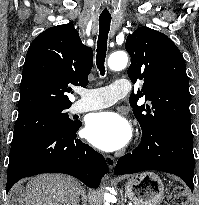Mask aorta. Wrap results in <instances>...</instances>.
<instances>
[{
    "label": "aorta",
    "instance_id": "obj_1",
    "mask_svg": "<svg viewBox=\"0 0 199 205\" xmlns=\"http://www.w3.org/2000/svg\"><path fill=\"white\" fill-rule=\"evenodd\" d=\"M128 63V56L124 51H117L110 55L108 59V66L114 71H119L124 69ZM111 196L108 193L104 194V205H110Z\"/></svg>",
    "mask_w": 199,
    "mask_h": 205
}]
</instances>
